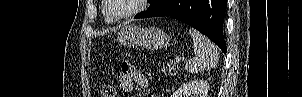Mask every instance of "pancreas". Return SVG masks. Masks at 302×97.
Segmentation results:
<instances>
[{
	"label": "pancreas",
	"mask_w": 302,
	"mask_h": 97,
	"mask_svg": "<svg viewBox=\"0 0 302 97\" xmlns=\"http://www.w3.org/2000/svg\"><path fill=\"white\" fill-rule=\"evenodd\" d=\"M167 66L169 68V70H176V64L175 63H167Z\"/></svg>",
	"instance_id": "1"
}]
</instances>
